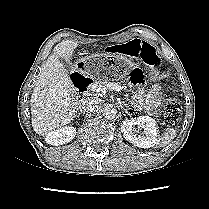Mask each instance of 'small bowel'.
Listing matches in <instances>:
<instances>
[{
	"instance_id": "small-bowel-1",
	"label": "small bowel",
	"mask_w": 209,
	"mask_h": 209,
	"mask_svg": "<svg viewBox=\"0 0 209 209\" xmlns=\"http://www.w3.org/2000/svg\"><path fill=\"white\" fill-rule=\"evenodd\" d=\"M129 83L136 88L143 87L148 80L147 74L137 66L131 67L126 74ZM162 101V91L157 83H153L150 88H140L134 97V105L138 109H144L150 114L157 112Z\"/></svg>"
}]
</instances>
